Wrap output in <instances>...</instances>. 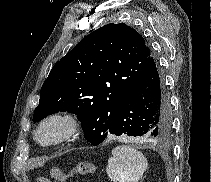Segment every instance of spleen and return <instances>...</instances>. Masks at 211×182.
<instances>
[{
	"label": "spleen",
	"mask_w": 211,
	"mask_h": 182,
	"mask_svg": "<svg viewBox=\"0 0 211 182\" xmlns=\"http://www.w3.org/2000/svg\"><path fill=\"white\" fill-rule=\"evenodd\" d=\"M147 169L145 156L129 145H119L112 150L106 172L111 181L138 182Z\"/></svg>",
	"instance_id": "obj_1"
}]
</instances>
